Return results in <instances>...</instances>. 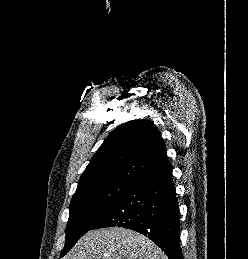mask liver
Here are the masks:
<instances>
[{"label": "liver", "mask_w": 248, "mask_h": 259, "mask_svg": "<svg viewBox=\"0 0 248 259\" xmlns=\"http://www.w3.org/2000/svg\"><path fill=\"white\" fill-rule=\"evenodd\" d=\"M65 259H168L144 235L122 227L87 232Z\"/></svg>", "instance_id": "obj_1"}]
</instances>
